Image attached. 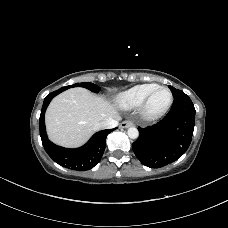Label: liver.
Wrapping results in <instances>:
<instances>
[{
    "instance_id": "liver-1",
    "label": "liver",
    "mask_w": 228,
    "mask_h": 228,
    "mask_svg": "<svg viewBox=\"0 0 228 228\" xmlns=\"http://www.w3.org/2000/svg\"><path fill=\"white\" fill-rule=\"evenodd\" d=\"M110 118L120 119L112 101L78 87L61 93L51 101L45 123L52 142L76 148L88 141L97 130L98 123Z\"/></svg>"
}]
</instances>
